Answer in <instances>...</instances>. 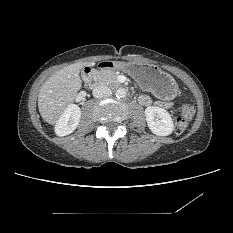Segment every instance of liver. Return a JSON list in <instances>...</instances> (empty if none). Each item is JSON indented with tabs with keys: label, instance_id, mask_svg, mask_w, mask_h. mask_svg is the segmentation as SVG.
Returning a JSON list of instances; mask_svg holds the SVG:
<instances>
[{
	"label": "liver",
	"instance_id": "obj_1",
	"mask_svg": "<svg viewBox=\"0 0 233 233\" xmlns=\"http://www.w3.org/2000/svg\"><path fill=\"white\" fill-rule=\"evenodd\" d=\"M83 63L62 68L47 79L38 95V109L48 124H56L66 108L73 103L82 87L79 76Z\"/></svg>",
	"mask_w": 233,
	"mask_h": 233
}]
</instances>
